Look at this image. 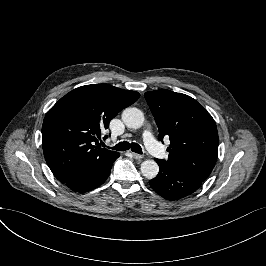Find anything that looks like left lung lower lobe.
I'll return each mask as SVG.
<instances>
[{
	"label": "left lung lower lobe",
	"instance_id": "0a47b994",
	"mask_svg": "<svg viewBox=\"0 0 266 266\" xmlns=\"http://www.w3.org/2000/svg\"><path fill=\"white\" fill-rule=\"evenodd\" d=\"M159 165L158 175L149 181L151 188L168 200H177L195 192L203 180L155 159Z\"/></svg>",
	"mask_w": 266,
	"mask_h": 266
}]
</instances>
